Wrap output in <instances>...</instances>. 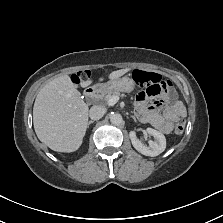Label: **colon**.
<instances>
[{
    "mask_svg": "<svg viewBox=\"0 0 223 223\" xmlns=\"http://www.w3.org/2000/svg\"><path fill=\"white\" fill-rule=\"evenodd\" d=\"M89 76L87 72H79L76 75H73V79L80 81ZM133 80L142 87L150 88L155 85L163 84L165 79L161 75L151 72H145L141 70H136L132 74ZM186 121L183 115H179L175 123V133L181 134L185 129Z\"/></svg>",
    "mask_w": 223,
    "mask_h": 223,
    "instance_id": "1",
    "label": "colon"
}]
</instances>
